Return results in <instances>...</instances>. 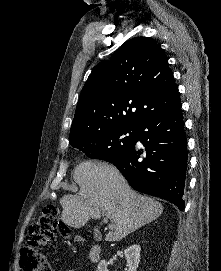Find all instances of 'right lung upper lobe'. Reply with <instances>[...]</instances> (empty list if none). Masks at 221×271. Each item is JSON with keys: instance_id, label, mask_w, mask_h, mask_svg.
<instances>
[{"instance_id": "obj_1", "label": "right lung upper lobe", "mask_w": 221, "mask_h": 271, "mask_svg": "<svg viewBox=\"0 0 221 271\" xmlns=\"http://www.w3.org/2000/svg\"><path fill=\"white\" fill-rule=\"evenodd\" d=\"M179 104L178 88L159 44L146 37L133 38L89 75L69 142L114 126L137 127Z\"/></svg>"}]
</instances>
